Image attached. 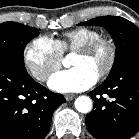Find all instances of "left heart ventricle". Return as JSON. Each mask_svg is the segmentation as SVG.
<instances>
[{"mask_svg":"<svg viewBox=\"0 0 139 139\" xmlns=\"http://www.w3.org/2000/svg\"><path fill=\"white\" fill-rule=\"evenodd\" d=\"M107 59V49L105 47H100L90 54L76 52L71 59V65L86 67L98 75L105 66Z\"/></svg>","mask_w":139,"mask_h":139,"instance_id":"1","label":"left heart ventricle"}]
</instances>
